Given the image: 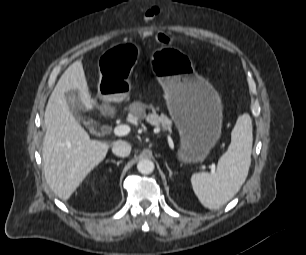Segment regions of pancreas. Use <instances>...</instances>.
<instances>
[{"label":"pancreas","instance_id":"pancreas-1","mask_svg":"<svg viewBox=\"0 0 306 255\" xmlns=\"http://www.w3.org/2000/svg\"><path fill=\"white\" fill-rule=\"evenodd\" d=\"M148 107L151 108L152 113L146 115L145 110ZM130 111L135 118H146L151 125L160 126L163 130L171 131L172 121L164 114L158 115L153 106L136 102L131 105Z\"/></svg>","mask_w":306,"mask_h":255}]
</instances>
